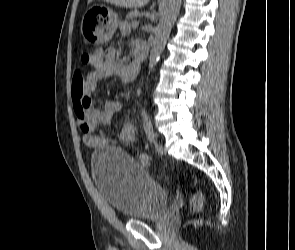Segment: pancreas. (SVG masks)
<instances>
[{"label":"pancreas","mask_w":295,"mask_h":250,"mask_svg":"<svg viewBox=\"0 0 295 250\" xmlns=\"http://www.w3.org/2000/svg\"><path fill=\"white\" fill-rule=\"evenodd\" d=\"M139 15L138 11H132L127 15V19H130L133 24V19L136 18Z\"/></svg>","instance_id":"pancreas-1"}]
</instances>
